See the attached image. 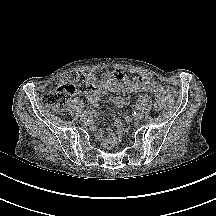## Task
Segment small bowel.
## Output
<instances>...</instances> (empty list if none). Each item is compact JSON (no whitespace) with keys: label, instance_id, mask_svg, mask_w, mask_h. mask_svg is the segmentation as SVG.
I'll use <instances>...</instances> for the list:
<instances>
[{"label":"small bowel","instance_id":"small-bowel-1","mask_svg":"<svg viewBox=\"0 0 216 216\" xmlns=\"http://www.w3.org/2000/svg\"><path fill=\"white\" fill-rule=\"evenodd\" d=\"M89 82L85 90V96L92 106H97L104 94L107 92H124L135 93L140 91H148L155 94V108L162 109L163 105V86L158 84L148 73H143L135 79H129L128 73L122 69H116L111 72H105L101 79L96 82L93 75H87ZM110 101L117 107L123 108L127 102V98L123 95L110 97ZM124 131V127L120 121L116 122V132L110 135L106 141L115 143Z\"/></svg>","mask_w":216,"mask_h":216}]
</instances>
